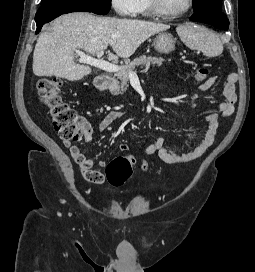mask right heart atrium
Here are the masks:
<instances>
[{
  "label": "right heart atrium",
  "instance_id": "obj_1",
  "mask_svg": "<svg viewBox=\"0 0 255 272\" xmlns=\"http://www.w3.org/2000/svg\"><path fill=\"white\" fill-rule=\"evenodd\" d=\"M115 12L121 16H133L138 11L139 0H110Z\"/></svg>",
  "mask_w": 255,
  "mask_h": 272
}]
</instances>
